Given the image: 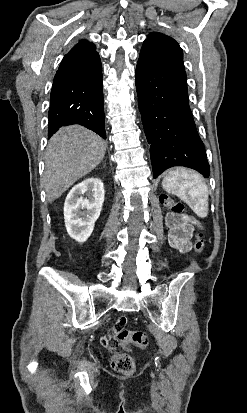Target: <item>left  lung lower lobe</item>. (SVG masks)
<instances>
[{
  "instance_id": "0a47b994",
  "label": "left lung lower lobe",
  "mask_w": 247,
  "mask_h": 413,
  "mask_svg": "<svg viewBox=\"0 0 247 413\" xmlns=\"http://www.w3.org/2000/svg\"><path fill=\"white\" fill-rule=\"evenodd\" d=\"M135 82L153 177L185 166L208 178L210 168L189 107L184 65L142 48Z\"/></svg>"
}]
</instances>
